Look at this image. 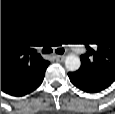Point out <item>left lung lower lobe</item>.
I'll return each instance as SVG.
<instances>
[{
    "label": "left lung lower lobe",
    "instance_id": "0a47b994",
    "mask_svg": "<svg viewBox=\"0 0 115 114\" xmlns=\"http://www.w3.org/2000/svg\"><path fill=\"white\" fill-rule=\"evenodd\" d=\"M68 76L72 84L77 88L90 93L100 92L112 84V82L108 80L88 75H81L75 72L68 73Z\"/></svg>",
    "mask_w": 115,
    "mask_h": 114
}]
</instances>
